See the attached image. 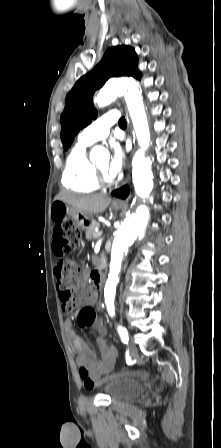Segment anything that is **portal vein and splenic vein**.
<instances>
[{"label": "portal vein and splenic vein", "instance_id": "18ae733b", "mask_svg": "<svg viewBox=\"0 0 221 448\" xmlns=\"http://www.w3.org/2000/svg\"><path fill=\"white\" fill-rule=\"evenodd\" d=\"M102 234H103V231H97V232H96V237L98 238V237H100Z\"/></svg>", "mask_w": 221, "mask_h": 448}]
</instances>
